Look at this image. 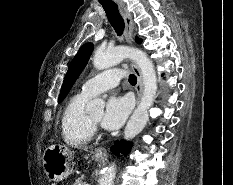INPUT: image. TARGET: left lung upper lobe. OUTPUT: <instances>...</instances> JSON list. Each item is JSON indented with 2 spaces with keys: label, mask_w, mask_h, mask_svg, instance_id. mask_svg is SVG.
<instances>
[{
  "label": "left lung upper lobe",
  "mask_w": 233,
  "mask_h": 185,
  "mask_svg": "<svg viewBox=\"0 0 233 185\" xmlns=\"http://www.w3.org/2000/svg\"><path fill=\"white\" fill-rule=\"evenodd\" d=\"M136 41L138 43H141L142 40L137 38ZM93 51V44L92 43H87L84 44L78 51L77 55L74 57L72 62L69 65V69L66 73L63 86L61 89V93L59 96V102H61L69 90L71 89L72 85L74 84L75 80L78 78L79 74L87 64L90 55Z\"/></svg>",
  "instance_id": "5c2ea615"
}]
</instances>
